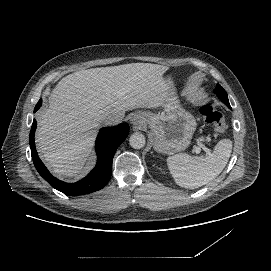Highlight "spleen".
Returning a JSON list of instances; mask_svg holds the SVG:
<instances>
[{
  "label": "spleen",
  "mask_w": 271,
  "mask_h": 271,
  "mask_svg": "<svg viewBox=\"0 0 271 271\" xmlns=\"http://www.w3.org/2000/svg\"><path fill=\"white\" fill-rule=\"evenodd\" d=\"M232 151V141L223 139L206 156L176 154L167 158V165L180 187L194 189L209 183L225 168Z\"/></svg>",
  "instance_id": "3e777b00"
}]
</instances>
